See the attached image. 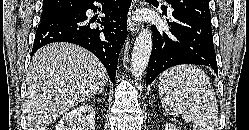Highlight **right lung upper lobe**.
I'll use <instances>...</instances> for the list:
<instances>
[{
  "instance_id": "right-lung-upper-lobe-1",
  "label": "right lung upper lobe",
  "mask_w": 249,
  "mask_h": 130,
  "mask_svg": "<svg viewBox=\"0 0 249 130\" xmlns=\"http://www.w3.org/2000/svg\"><path fill=\"white\" fill-rule=\"evenodd\" d=\"M88 0H43V11H67L83 7Z\"/></svg>"
}]
</instances>
